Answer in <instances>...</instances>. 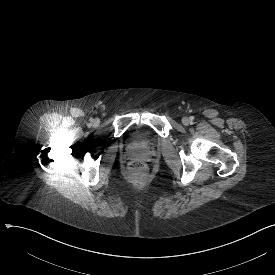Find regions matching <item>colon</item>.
Masks as SVG:
<instances>
[{
	"label": "colon",
	"instance_id": "obj_1",
	"mask_svg": "<svg viewBox=\"0 0 275 275\" xmlns=\"http://www.w3.org/2000/svg\"><path fill=\"white\" fill-rule=\"evenodd\" d=\"M131 170L144 171L145 164L142 161H135L130 164Z\"/></svg>",
	"mask_w": 275,
	"mask_h": 275
}]
</instances>
